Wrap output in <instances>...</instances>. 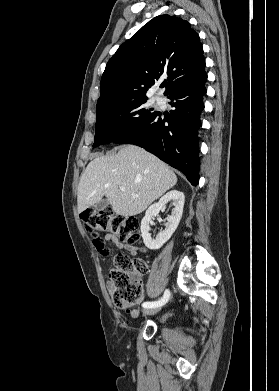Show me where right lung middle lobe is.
Returning a JSON list of instances; mask_svg holds the SVG:
<instances>
[{
  "instance_id": "dd1d6c3e",
  "label": "right lung middle lobe",
  "mask_w": 279,
  "mask_h": 391,
  "mask_svg": "<svg viewBox=\"0 0 279 391\" xmlns=\"http://www.w3.org/2000/svg\"><path fill=\"white\" fill-rule=\"evenodd\" d=\"M147 99L133 101L97 114L93 147L117 140L128 130L151 119L158 112L146 107Z\"/></svg>"
}]
</instances>
